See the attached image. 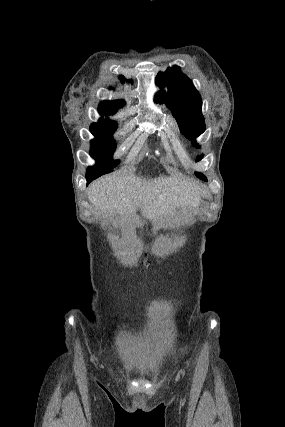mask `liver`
<instances>
[{
  "mask_svg": "<svg viewBox=\"0 0 285 427\" xmlns=\"http://www.w3.org/2000/svg\"><path fill=\"white\" fill-rule=\"evenodd\" d=\"M205 191L198 184L178 177L145 179L134 175H109L91 184L88 199L105 214L134 221L140 208L150 220L172 217L177 209H194Z\"/></svg>",
  "mask_w": 285,
  "mask_h": 427,
  "instance_id": "liver-1",
  "label": "liver"
}]
</instances>
